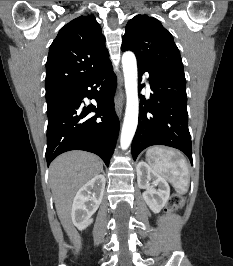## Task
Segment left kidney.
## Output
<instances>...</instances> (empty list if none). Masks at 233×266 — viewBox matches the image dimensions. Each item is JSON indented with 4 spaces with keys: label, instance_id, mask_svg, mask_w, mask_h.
Here are the masks:
<instances>
[{
    "label": "left kidney",
    "instance_id": "5707ae66",
    "mask_svg": "<svg viewBox=\"0 0 233 266\" xmlns=\"http://www.w3.org/2000/svg\"><path fill=\"white\" fill-rule=\"evenodd\" d=\"M136 172L139 188L146 190L144 201L154 213H159L169 199V184L144 161L138 163Z\"/></svg>",
    "mask_w": 233,
    "mask_h": 266
}]
</instances>
